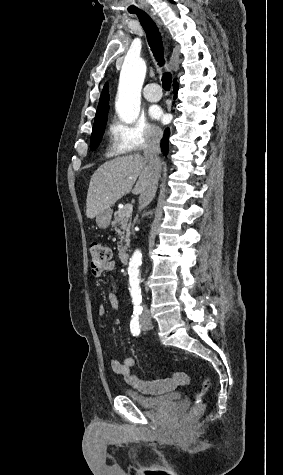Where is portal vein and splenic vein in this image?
<instances>
[{"mask_svg":"<svg viewBox=\"0 0 283 475\" xmlns=\"http://www.w3.org/2000/svg\"><path fill=\"white\" fill-rule=\"evenodd\" d=\"M122 208H123V206H122ZM127 210H130V212H132V206H131V204H127Z\"/></svg>","mask_w":283,"mask_h":475,"instance_id":"obj_1","label":"portal vein and splenic vein"}]
</instances>
